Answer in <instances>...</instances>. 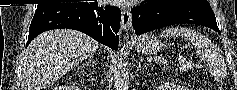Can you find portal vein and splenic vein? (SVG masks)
Returning <instances> with one entry per match:
<instances>
[{"label": "portal vein and splenic vein", "mask_w": 237, "mask_h": 90, "mask_svg": "<svg viewBox=\"0 0 237 90\" xmlns=\"http://www.w3.org/2000/svg\"><path fill=\"white\" fill-rule=\"evenodd\" d=\"M180 66H182L181 70H184L186 66H188L187 62H179Z\"/></svg>", "instance_id": "1"}]
</instances>
